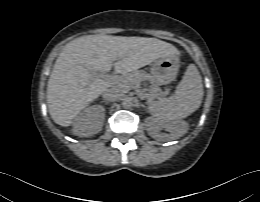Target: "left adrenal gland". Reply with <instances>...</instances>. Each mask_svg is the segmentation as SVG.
Instances as JSON below:
<instances>
[{"label":"left adrenal gland","instance_id":"1","mask_svg":"<svg viewBox=\"0 0 260 202\" xmlns=\"http://www.w3.org/2000/svg\"><path fill=\"white\" fill-rule=\"evenodd\" d=\"M142 107H144L145 109H147V107H146V106H144V105H142Z\"/></svg>","mask_w":260,"mask_h":202}]
</instances>
